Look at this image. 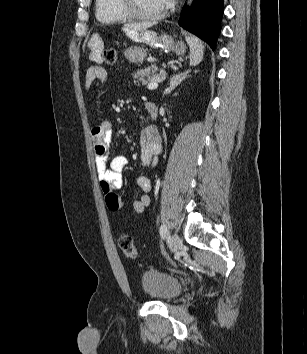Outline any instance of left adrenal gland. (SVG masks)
<instances>
[{
    "label": "left adrenal gland",
    "mask_w": 307,
    "mask_h": 354,
    "mask_svg": "<svg viewBox=\"0 0 307 354\" xmlns=\"http://www.w3.org/2000/svg\"><path fill=\"white\" fill-rule=\"evenodd\" d=\"M191 70H186L185 72H181L178 74H174L170 78V83L169 87L166 89V93L170 94L183 80H185L187 77H190L189 73Z\"/></svg>",
    "instance_id": "a2214340"
}]
</instances>
